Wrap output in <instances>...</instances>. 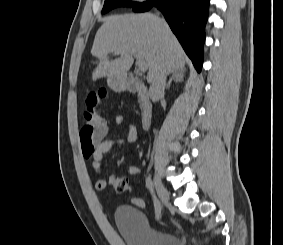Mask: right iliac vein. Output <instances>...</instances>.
<instances>
[{
	"instance_id": "1",
	"label": "right iliac vein",
	"mask_w": 283,
	"mask_h": 245,
	"mask_svg": "<svg viewBox=\"0 0 283 245\" xmlns=\"http://www.w3.org/2000/svg\"><path fill=\"white\" fill-rule=\"evenodd\" d=\"M154 183H155V187H156L158 196L161 199L162 204L164 206H168L169 205L168 192H167L165 186L163 185V183L161 182V180L159 179V177L157 175H155V177H154Z\"/></svg>"
}]
</instances>
